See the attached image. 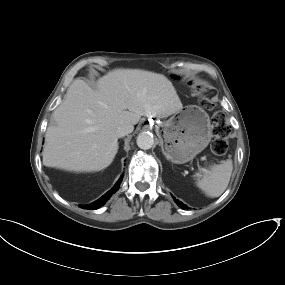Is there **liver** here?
<instances>
[{
	"label": "liver",
	"mask_w": 285,
	"mask_h": 285,
	"mask_svg": "<svg viewBox=\"0 0 285 285\" xmlns=\"http://www.w3.org/2000/svg\"><path fill=\"white\" fill-rule=\"evenodd\" d=\"M182 108L173 84L162 74L117 69L98 80L97 90L74 80L53 112L55 125L47 128L43 164L75 172L103 170L118 151L117 127Z\"/></svg>",
	"instance_id": "obj_1"
}]
</instances>
